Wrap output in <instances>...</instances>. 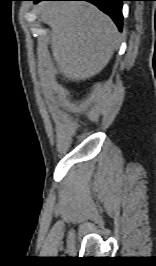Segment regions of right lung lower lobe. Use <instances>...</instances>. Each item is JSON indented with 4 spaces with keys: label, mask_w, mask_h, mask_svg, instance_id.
<instances>
[{
    "label": "right lung lower lobe",
    "mask_w": 156,
    "mask_h": 266,
    "mask_svg": "<svg viewBox=\"0 0 156 266\" xmlns=\"http://www.w3.org/2000/svg\"><path fill=\"white\" fill-rule=\"evenodd\" d=\"M35 3L40 1H87L96 5L101 11L108 14L116 23L118 28L122 30V1L123 0H33Z\"/></svg>",
    "instance_id": "98d812e1"
}]
</instances>
